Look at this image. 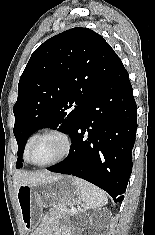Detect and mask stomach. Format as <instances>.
<instances>
[{
    "instance_id": "1",
    "label": "stomach",
    "mask_w": 155,
    "mask_h": 235,
    "mask_svg": "<svg viewBox=\"0 0 155 235\" xmlns=\"http://www.w3.org/2000/svg\"><path fill=\"white\" fill-rule=\"evenodd\" d=\"M16 197L23 226L28 232L39 226L44 207H67L81 202L80 190L71 176H59L43 183L21 185Z\"/></svg>"
}]
</instances>
